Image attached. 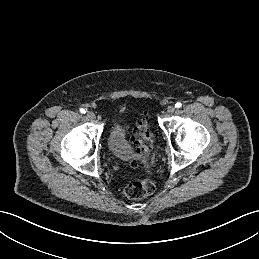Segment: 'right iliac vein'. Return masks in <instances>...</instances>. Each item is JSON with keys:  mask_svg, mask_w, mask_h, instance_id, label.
Returning a JSON list of instances; mask_svg holds the SVG:
<instances>
[{"mask_svg": "<svg viewBox=\"0 0 259 259\" xmlns=\"http://www.w3.org/2000/svg\"><path fill=\"white\" fill-rule=\"evenodd\" d=\"M86 115H87V117L89 119H94L95 118V114L92 111H88Z\"/></svg>", "mask_w": 259, "mask_h": 259, "instance_id": "63e3f726", "label": "right iliac vein"}]
</instances>
